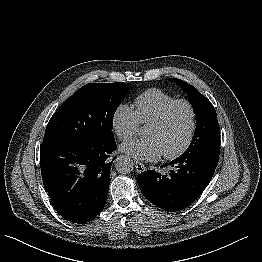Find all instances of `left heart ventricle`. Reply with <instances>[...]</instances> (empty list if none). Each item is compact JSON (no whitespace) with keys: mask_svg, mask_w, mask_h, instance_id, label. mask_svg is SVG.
<instances>
[{"mask_svg":"<svg viewBox=\"0 0 262 262\" xmlns=\"http://www.w3.org/2000/svg\"><path fill=\"white\" fill-rule=\"evenodd\" d=\"M190 124L191 114L188 106L179 104L172 109L163 125H149L145 135L159 143L163 154H171L186 141Z\"/></svg>","mask_w":262,"mask_h":262,"instance_id":"left-heart-ventricle-1","label":"left heart ventricle"}]
</instances>
